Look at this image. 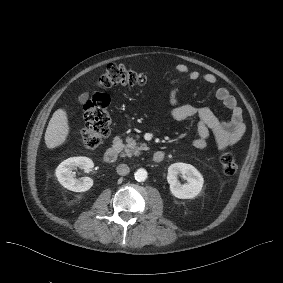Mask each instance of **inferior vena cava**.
<instances>
[{
  "label": "inferior vena cava",
  "instance_id": "1",
  "mask_svg": "<svg viewBox=\"0 0 283 283\" xmlns=\"http://www.w3.org/2000/svg\"><path fill=\"white\" fill-rule=\"evenodd\" d=\"M130 172V169L128 167V165L126 164H120L118 167H117V173L121 176H125L127 175L128 173Z\"/></svg>",
  "mask_w": 283,
  "mask_h": 283
}]
</instances>
